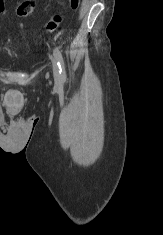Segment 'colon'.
<instances>
[{
	"label": "colon",
	"instance_id": "5ec220e1",
	"mask_svg": "<svg viewBox=\"0 0 163 235\" xmlns=\"http://www.w3.org/2000/svg\"><path fill=\"white\" fill-rule=\"evenodd\" d=\"M80 0H67L68 6L76 10L79 7ZM35 9V2L33 0H25L16 8V14L19 17L29 16ZM4 11V0H0V14ZM62 17L57 14L51 17L45 24V30L48 32L55 31L61 24Z\"/></svg>",
	"mask_w": 163,
	"mask_h": 235
}]
</instances>
